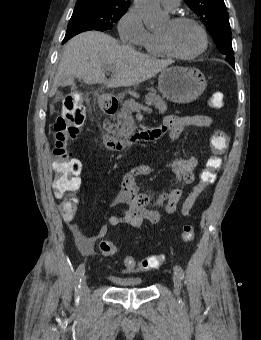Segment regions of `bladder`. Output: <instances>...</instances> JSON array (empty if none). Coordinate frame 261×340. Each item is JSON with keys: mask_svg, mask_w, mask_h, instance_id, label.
Wrapping results in <instances>:
<instances>
[{"mask_svg": "<svg viewBox=\"0 0 261 340\" xmlns=\"http://www.w3.org/2000/svg\"><path fill=\"white\" fill-rule=\"evenodd\" d=\"M109 279L120 288H139L142 287V279L139 277H121L116 275L109 276Z\"/></svg>", "mask_w": 261, "mask_h": 340, "instance_id": "1", "label": "bladder"}]
</instances>
